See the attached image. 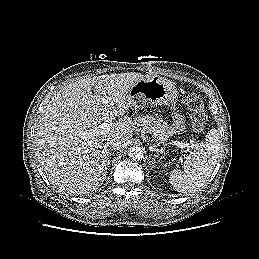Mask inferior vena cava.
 <instances>
[{"instance_id":"inferior-vena-cava-1","label":"inferior vena cava","mask_w":259,"mask_h":259,"mask_svg":"<svg viewBox=\"0 0 259 259\" xmlns=\"http://www.w3.org/2000/svg\"><path fill=\"white\" fill-rule=\"evenodd\" d=\"M110 151L120 150L123 147V143L121 140L112 139L107 142Z\"/></svg>"}]
</instances>
